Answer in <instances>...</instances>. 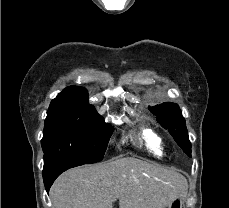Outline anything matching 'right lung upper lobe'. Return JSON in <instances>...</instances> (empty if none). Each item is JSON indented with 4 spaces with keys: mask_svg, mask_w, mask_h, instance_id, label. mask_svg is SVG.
Instances as JSON below:
<instances>
[{
    "mask_svg": "<svg viewBox=\"0 0 229 208\" xmlns=\"http://www.w3.org/2000/svg\"><path fill=\"white\" fill-rule=\"evenodd\" d=\"M66 108L80 114L101 119L93 105L88 103V91L83 87L69 86L50 103V108Z\"/></svg>",
    "mask_w": 229,
    "mask_h": 208,
    "instance_id": "right-lung-upper-lobe-1",
    "label": "right lung upper lobe"
}]
</instances>
